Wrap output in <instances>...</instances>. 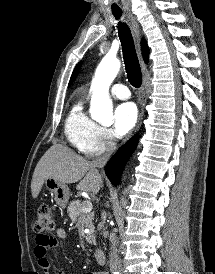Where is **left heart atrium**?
I'll list each match as a JSON object with an SVG mask.
<instances>
[{
	"label": "left heart atrium",
	"mask_w": 215,
	"mask_h": 274,
	"mask_svg": "<svg viewBox=\"0 0 215 274\" xmlns=\"http://www.w3.org/2000/svg\"><path fill=\"white\" fill-rule=\"evenodd\" d=\"M138 118L136 106L131 102L118 105L114 110V133L122 137L129 133L135 126Z\"/></svg>",
	"instance_id": "1"
}]
</instances>
